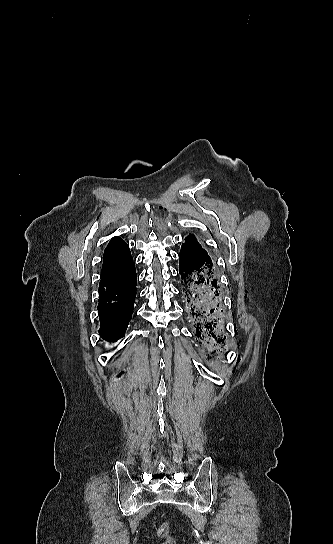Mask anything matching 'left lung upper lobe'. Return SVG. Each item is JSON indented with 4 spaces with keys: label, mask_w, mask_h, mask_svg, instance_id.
Returning a JSON list of instances; mask_svg holds the SVG:
<instances>
[{
    "label": "left lung upper lobe",
    "mask_w": 333,
    "mask_h": 544,
    "mask_svg": "<svg viewBox=\"0 0 333 544\" xmlns=\"http://www.w3.org/2000/svg\"><path fill=\"white\" fill-rule=\"evenodd\" d=\"M185 245V246H189L193 249H195L196 251H198L205 259H207L208 261L212 262V259L210 258V256L208 255V253L206 252L205 249L202 248L201 244L197 241L196 237L192 234H189L186 238H185V243L182 244V246Z\"/></svg>",
    "instance_id": "left-lung-upper-lobe-1"
}]
</instances>
